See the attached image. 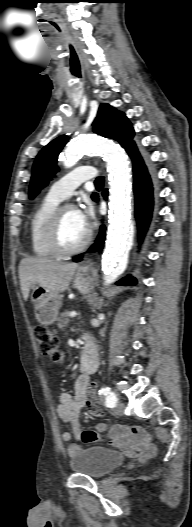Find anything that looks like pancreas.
Wrapping results in <instances>:
<instances>
[{
	"instance_id": "pancreas-1",
	"label": "pancreas",
	"mask_w": 192,
	"mask_h": 527,
	"mask_svg": "<svg viewBox=\"0 0 192 527\" xmlns=\"http://www.w3.org/2000/svg\"><path fill=\"white\" fill-rule=\"evenodd\" d=\"M69 315H70V312L69 311H65L63 313H61L60 317L58 318V327L59 328H63L65 327L68 322H69Z\"/></svg>"
}]
</instances>
